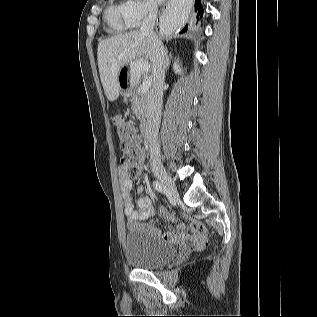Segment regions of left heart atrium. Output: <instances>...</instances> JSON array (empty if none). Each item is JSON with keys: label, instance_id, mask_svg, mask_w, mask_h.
Masks as SVG:
<instances>
[{"label": "left heart atrium", "instance_id": "39dd6f15", "mask_svg": "<svg viewBox=\"0 0 317 317\" xmlns=\"http://www.w3.org/2000/svg\"><path fill=\"white\" fill-rule=\"evenodd\" d=\"M152 2H154L155 4H159V3L163 2V0H152Z\"/></svg>", "mask_w": 317, "mask_h": 317}]
</instances>
